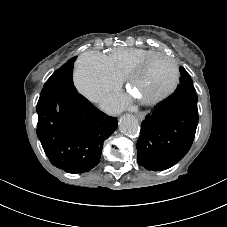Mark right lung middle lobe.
Listing matches in <instances>:
<instances>
[{
    "mask_svg": "<svg viewBox=\"0 0 227 227\" xmlns=\"http://www.w3.org/2000/svg\"><path fill=\"white\" fill-rule=\"evenodd\" d=\"M75 60L76 57L71 58L56 70L43 86L41 94L53 92L59 95L63 93L77 92L72 77L73 63Z\"/></svg>",
    "mask_w": 227,
    "mask_h": 227,
    "instance_id": "obj_1",
    "label": "right lung middle lobe"
}]
</instances>
